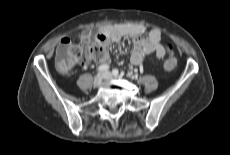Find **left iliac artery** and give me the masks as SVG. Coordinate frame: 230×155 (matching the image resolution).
<instances>
[{"mask_svg":"<svg viewBox=\"0 0 230 155\" xmlns=\"http://www.w3.org/2000/svg\"><path fill=\"white\" fill-rule=\"evenodd\" d=\"M112 73H113L114 76H118L119 75L118 69H113Z\"/></svg>","mask_w":230,"mask_h":155,"instance_id":"obj_1","label":"left iliac artery"}]
</instances>
